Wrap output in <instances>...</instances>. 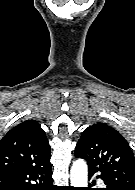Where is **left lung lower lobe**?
Listing matches in <instances>:
<instances>
[{
    "label": "left lung lower lobe",
    "mask_w": 135,
    "mask_h": 190,
    "mask_svg": "<svg viewBox=\"0 0 135 190\" xmlns=\"http://www.w3.org/2000/svg\"><path fill=\"white\" fill-rule=\"evenodd\" d=\"M89 168V178L96 172H98L97 169L93 168V167H90L88 166ZM99 178H101L103 180V182L105 183L106 185V188H103V190H122L120 187H118L117 185L111 183V181L106 177L104 176L103 174H101L100 176H98ZM95 181H93L94 183Z\"/></svg>",
    "instance_id": "obj_1"
}]
</instances>
